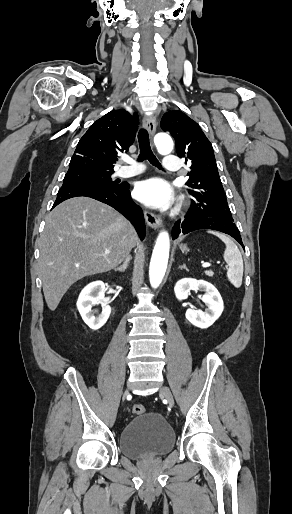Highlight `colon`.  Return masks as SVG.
I'll return each instance as SVG.
<instances>
[{
    "label": "colon",
    "mask_w": 292,
    "mask_h": 514,
    "mask_svg": "<svg viewBox=\"0 0 292 514\" xmlns=\"http://www.w3.org/2000/svg\"><path fill=\"white\" fill-rule=\"evenodd\" d=\"M131 411L135 414V415H144L146 413V408L145 406L141 405V404H133L132 407H131Z\"/></svg>",
    "instance_id": "colon-1"
}]
</instances>
